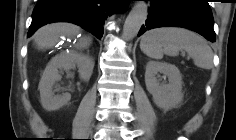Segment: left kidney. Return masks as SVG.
I'll return each instance as SVG.
<instances>
[{
  "label": "left kidney",
  "mask_w": 236,
  "mask_h": 140,
  "mask_svg": "<svg viewBox=\"0 0 236 140\" xmlns=\"http://www.w3.org/2000/svg\"><path fill=\"white\" fill-rule=\"evenodd\" d=\"M158 73L167 76L169 83L160 84L156 77ZM145 84L153 96L154 103L161 109H171L183 99L182 76L173 64L149 61L146 66Z\"/></svg>",
  "instance_id": "obj_1"
}]
</instances>
